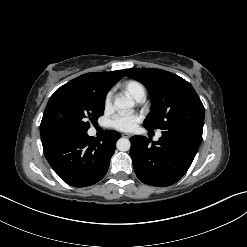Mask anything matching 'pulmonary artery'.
I'll use <instances>...</instances> for the list:
<instances>
[{"instance_id": "e3ab8cb5", "label": "pulmonary artery", "mask_w": 247, "mask_h": 247, "mask_svg": "<svg viewBox=\"0 0 247 247\" xmlns=\"http://www.w3.org/2000/svg\"><path fill=\"white\" fill-rule=\"evenodd\" d=\"M137 102H143L145 100V93L140 94L136 99ZM161 137V133H158L156 135V139H159Z\"/></svg>"}]
</instances>
